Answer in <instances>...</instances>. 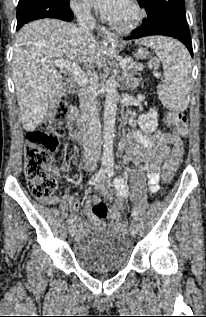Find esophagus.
Returning a JSON list of instances; mask_svg holds the SVG:
<instances>
[{
	"label": "esophagus",
	"instance_id": "obj_1",
	"mask_svg": "<svg viewBox=\"0 0 206 317\" xmlns=\"http://www.w3.org/2000/svg\"><path fill=\"white\" fill-rule=\"evenodd\" d=\"M103 41H118V37L102 28L97 34Z\"/></svg>",
	"mask_w": 206,
	"mask_h": 317
}]
</instances>
